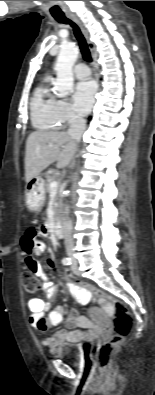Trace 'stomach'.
I'll use <instances>...</instances> for the list:
<instances>
[{"mask_svg":"<svg viewBox=\"0 0 155 395\" xmlns=\"http://www.w3.org/2000/svg\"><path fill=\"white\" fill-rule=\"evenodd\" d=\"M26 205L29 210H39L45 200V183L41 176L37 175L26 185Z\"/></svg>","mask_w":155,"mask_h":395,"instance_id":"0dacf381","label":"stomach"}]
</instances>
